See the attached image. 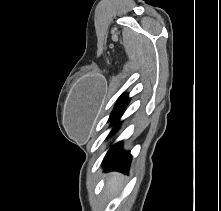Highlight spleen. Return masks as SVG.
I'll return each mask as SVG.
<instances>
[{"label":"spleen","instance_id":"obj_1","mask_svg":"<svg viewBox=\"0 0 221 211\" xmlns=\"http://www.w3.org/2000/svg\"><path fill=\"white\" fill-rule=\"evenodd\" d=\"M121 176L118 174H112L107 181L106 191L109 194H117L121 189Z\"/></svg>","mask_w":221,"mask_h":211}]
</instances>
